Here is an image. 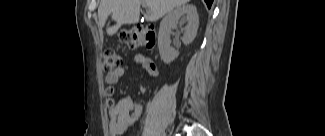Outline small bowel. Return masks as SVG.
<instances>
[{"label": "small bowel", "instance_id": "c3829d8e", "mask_svg": "<svg viewBox=\"0 0 325 136\" xmlns=\"http://www.w3.org/2000/svg\"><path fill=\"white\" fill-rule=\"evenodd\" d=\"M147 74L153 79L159 77L158 67L155 62L143 54H137L134 58ZM128 64L109 72L105 75V82L108 85L116 84L128 70ZM106 106L108 108V133L110 136L124 134L129 128L135 125L143 112V105L134 101L130 96H123L118 101L113 98V91L107 90Z\"/></svg>", "mask_w": 325, "mask_h": 136}]
</instances>
